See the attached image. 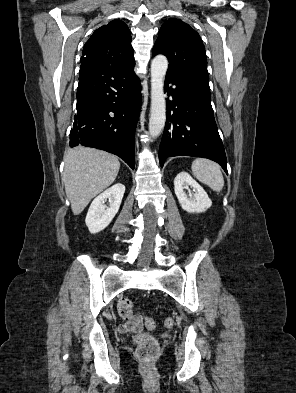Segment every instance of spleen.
<instances>
[{"label": "spleen", "instance_id": "spleen-1", "mask_svg": "<svg viewBox=\"0 0 296 393\" xmlns=\"http://www.w3.org/2000/svg\"><path fill=\"white\" fill-rule=\"evenodd\" d=\"M193 175L212 190L220 192L224 186V178L219 165L208 159L197 158L192 163Z\"/></svg>", "mask_w": 296, "mask_h": 393}]
</instances>
